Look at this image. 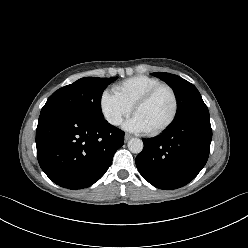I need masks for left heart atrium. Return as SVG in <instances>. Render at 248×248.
Wrapping results in <instances>:
<instances>
[{"label":"left heart atrium","mask_w":248,"mask_h":248,"mask_svg":"<svg viewBox=\"0 0 248 248\" xmlns=\"http://www.w3.org/2000/svg\"><path fill=\"white\" fill-rule=\"evenodd\" d=\"M124 128L133 132H147V128L140 120V118L134 115L132 118L124 123Z\"/></svg>","instance_id":"obj_1"}]
</instances>
